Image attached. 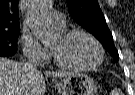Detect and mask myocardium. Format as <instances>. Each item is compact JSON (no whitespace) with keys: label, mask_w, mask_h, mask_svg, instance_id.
Listing matches in <instances>:
<instances>
[{"label":"myocardium","mask_w":135,"mask_h":95,"mask_svg":"<svg viewBox=\"0 0 135 95\" xmlns=\"http://www.w3.org/2000/svg\"><path fill=\"white\" fill-rule=\"evenodd\" d=\"M75 35H84L86 37H88L96 46L98 53H99V57L97 59V61L93 64H89V65H73V64H66L64 62H62L53 52L52 50V54L54 57V61L55 63L63 69L66 70H77V71H83V70H92L97 68L98 66H100L105 58V52H104V48L101 44V42L90 32L86 31V30H82V29H73V30H68V31H64L61 34V37L63 39H69Z\"/></svg>","instance_id":"obj_1"}]
</instances>
